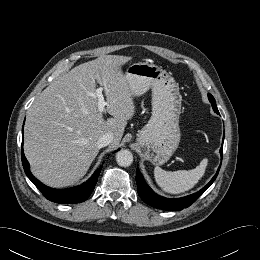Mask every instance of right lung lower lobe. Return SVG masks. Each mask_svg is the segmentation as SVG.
<instances>
[{
    "label": "right lung lower lobe",
    "mask_w": 260,
    "mask_h": 260,
    "mask_svg": "<svg viewBox=\"0 0 260 260\" xmlns=\"http://www.w3.org/2000/svg\"><path fill=\"white\" fill-rule=\"evenodd\" d=\"M22 164L27 177L32 181V183L41 191V193L50 201L69 204V203H81L85 201L88 196L94 190L101 168L92 175V177L80 186L65 189V190H55L43 185L38 181L30 172L29 163L24 156L22 149Z\"/></svg>",
    "instance_id": "1"
}]
</instances>
